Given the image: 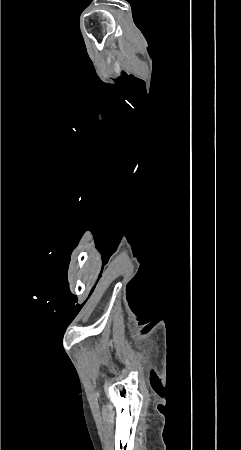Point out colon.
Returning a JSON list of instances; mask_svg holds the SVG:
<instances>
[{
    "label": "colon",
    "instance_id": "1",
    "mask_svg": "<svg viewBox=\"0 0 241 450\" xmlns=\"http://www.w3.org/2000/svg\"><path fill=\"white\" fill-rule=\"evenodd\" d=\"M101 304H102L103 306H108V305L110 304V299H109L108 297H103V298L101 299Z\"/></svg>",
    "mask_w": 241,
    "mask_h": 450
}]
</instances>
